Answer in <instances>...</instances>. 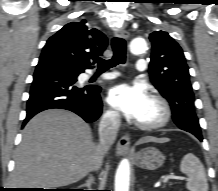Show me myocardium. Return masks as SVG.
Masks as SVG:
<instances>
[{
  "mask_svg": "<svg viewBox=\"0 0 218 191\" xmlns=\"http://www.w3.org/2000/svg\"><path fill=\"white\" fill-rule=\"evenodd\" d=\"M150 100L154 102L159 109L157 119L150 122H141L137 120L136 126L142 130H155L164 127L169 123L172 117V109L169 102L159 94H152Z\"/></svg>",
  "mask_w": 218,
  "mask_h": 191,
  "instance_id": "f54148a6",
  "label": "myocardium"
}]
</instances>
